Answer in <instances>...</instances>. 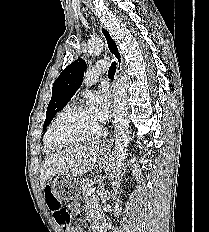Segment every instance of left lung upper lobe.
<instances>
[{"label":"left lung upper lobe","mask_w":209,"mask_h":232,"mask_svg":"<svg viewBox=\"0 0 209 232\" xmlns=\"http://www.w3.org/2000/svg\"><path fill=\"white\" fill-rule=\"evenodd\" d=\"M86 68V62L82 58H78L68 65L55 80L43 129L50 124L57 112L66 106L75 92L80 88Z\"/></svg>","instance_id":"1"}]
</instances>
